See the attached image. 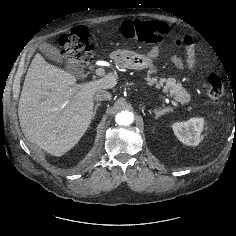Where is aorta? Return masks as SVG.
Returning a JSON list of instances; mask_svg holds the SVG:
<instances>
[{
  "instance_id": "1",
  "label": "aorta",
  "mask_w": 236,
  "mask_h": 236,
  "mask_svg": "<svg viewBox=\"0 0 236 236\" xmlns=\"http://www.w3.org/2000/svg\"><path fill=\"white\" fill-rule=\"evenodd\" d=\"M115 121L118 125L128 126L133 123L134 115L129 111H122L116 115Z\"/></svg>"
}]
</instances>
